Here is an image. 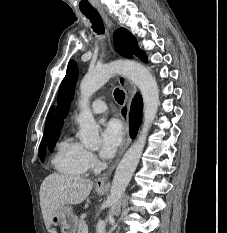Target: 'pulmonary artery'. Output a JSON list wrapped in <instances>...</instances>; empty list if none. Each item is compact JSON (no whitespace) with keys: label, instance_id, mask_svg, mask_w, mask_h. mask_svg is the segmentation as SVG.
Wrapping results in <instances>:
<instances>
[{"label":"pulmonary artery","instance_id":"e3ab8cb5","mask_svg":"<svg viewBox=\"0 0 227 233\" xmlns=\"http://www.w3.org/2000/svg\"><path fill=\"white\" fill-rule=\"evenodd\" d=\"M91 110L94 114H102L107 110V104L103 97L97 98L91 105Z\"/></svg>","mask_w":227,"mask_h":233}]
</instances>
